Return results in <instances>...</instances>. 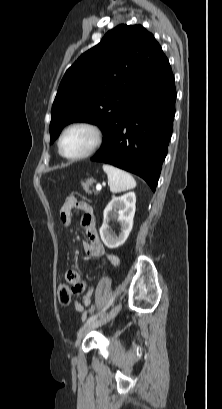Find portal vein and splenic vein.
I'll return each mask as SVG.
<instances>
[{
  "label": "portal vein and splenic vein",
  "mask_w": 222,
  "mask_h": 409,
  "mask_svg": "<svg viewBox=\"0 0 222 409\" xmlns=\"http://www.w3.org/2000/svg\"><path fill=\"white\" fill-rule=\"evenodd\" d=\"M101 189H102L101 184H97V185H96V190H97V191H100Z\"/></svg>",
  "instance_id": "obj_1"
}]
</instances>
